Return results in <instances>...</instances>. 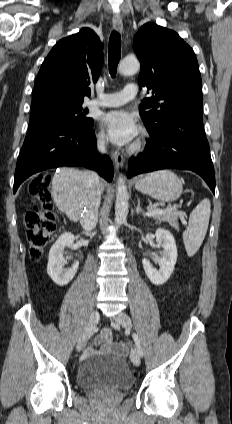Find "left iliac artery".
I'll use <instances>...</instances> for the list:
<instances>
[{
    "mask_svg": "<svg viewBox=\"0 0 232 424\" xmlns=\"http://www.w3.org/2000/svg\"><path fill=\"white\" fill-rule=\"evenodd\" d=\"M133 339H134L135 344L137 346V352H138L139 356L143 357L144 353H143L142 347L140 345V340H139L138 336L136 334H133Z\"/></svg>",
    "mask_w": 232,
    "mask_h": 424,
    "instance_id": "1",
    "label": "left iliac artery"
}]
</instances>
